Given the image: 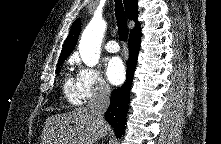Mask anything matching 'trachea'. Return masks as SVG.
I'll use <instances>...</instances> for the list:
<instances>
[{"mask_svg": "<svg viewBox=\"0 0 221 144\" xmlns=\"http://www.w3.org/2000/svg\"><path fill=\"white\" fill-rule=\"evenodd\" d=\"M115 15L117 19L119 37L125 42L128 38V27L121 0H115Z\"/></svg>", "mask_w": 221, "mask_h": 144, "instance_id": "3493384b", "label": "trachea"}]
</instances>
